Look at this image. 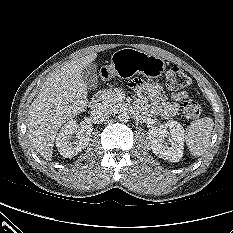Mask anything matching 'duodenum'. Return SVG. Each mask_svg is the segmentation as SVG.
<instances>
[{
    "instance_id": "1",
    "label": "duodenum",
    "mask_w": 233,
    "mask_h": 233,
    "mask_svg": "<svg viewBox=\"0 0 233 233\" xmlns=\"http://www.w3.org/2000/svg\"><path fill=\"white\" fill-rule=\"evenodd\" d=\"M99 101H100L99 96L95 95L94 97H92L90 101V107L95 108L98 105Z\"/></svg>"
}]
</instances>
